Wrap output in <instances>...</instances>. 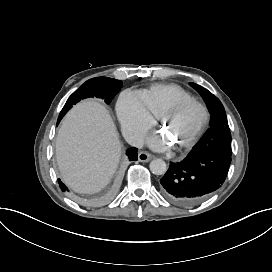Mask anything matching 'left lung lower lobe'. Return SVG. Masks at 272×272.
I'll return each mask as SVG.
<instances>
[{
    "mask_svg": "<svg viewBox=\"0 0 272 272\" xmlns=\"http://www.w3.org/2000/svg\"><path fill=\"white\" fill-rule=\"evenodd\" d=\"M230 163L231 156L220 152L189 154L180 163L170 164L159 189L175 204L194 205L224 183Z\"/></svg>",
    "mask_w": 272,
    "mask_h": 272,
    "instance_id": "left-lung-lower-lobe-1",
    "label": "left lung lower lobe"
}]
</instances>
